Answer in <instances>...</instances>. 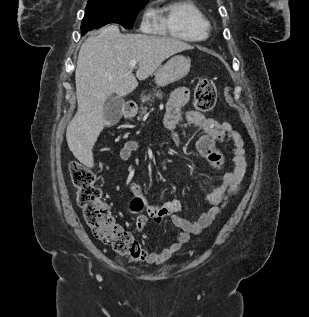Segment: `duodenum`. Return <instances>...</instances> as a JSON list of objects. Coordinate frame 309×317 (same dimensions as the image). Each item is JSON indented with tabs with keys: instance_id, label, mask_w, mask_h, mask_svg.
<instances>
[{
	"instance_id": "410a0bca",
	"label": "duodenum",
	"mask_w": 309,
	"mask_h": 317,
	"mask_svg": "<svg viewBox=\"0 0 309 317\" xmlns=\"http://www.w3.org/2000/svg\"><path fill=\"white\" fill-rule=\"evenodd\" d=\"M136 106L134 103H127L124 106L123 113L125 117H132L135 114Z\"/></svg>"
}]
</instances>
